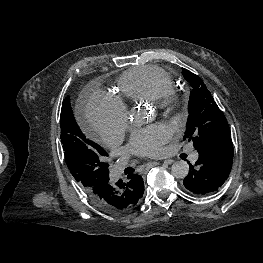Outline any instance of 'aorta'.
<instances>
[{
	"label": "aorta",
	"instance_id": "obj_1",
	"mask_svg": "<svg viewBox=\"0 0 263 263\" xmlns=\"http://www.w3.org/2000/svg\"><path fill=\"white\" fill-rule=\"evenodd\" d=\"M171 172L174 177L184 179L189 173V165L183 160L176 161L171 167Z\"/></svg>",
	"mask_w": 263,
	"mask_h": 263
}]
</instances>
